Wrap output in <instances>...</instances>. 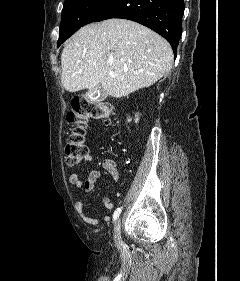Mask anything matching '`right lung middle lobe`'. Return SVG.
<instances>
[{
	"mask_svg": "<svg viewBox=\"0 0 240 281\" xmlns=\"http://www.w3.org/2000/svg\"><path fill=\"white\" fill-rule=\"evenodd\" d=\"M116 0H65L58 46L82 26L94 20Z\"/></svg>",
	"mask_w": 240,
	"mask_h": 281,
	"instance_id": "dd1d6c3e",
	"label": "right lung middle lobe"
}]
</instances>
